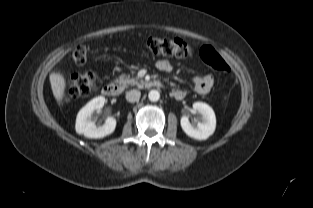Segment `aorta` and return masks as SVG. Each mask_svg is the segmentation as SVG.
Masks as SVG:
<instances>
[{"label":"aorta","instance_id":"obj_1","mask_svg":"<svg viewBox=\"0 0 313 208\" xmlns=\"http://www.w3.org/2000/svg\"><path fill=\"white\" fill-rule=\"evenodd\" d=\"M148 98L152 102H156L160 98V93L157 90H151L148 94Z\"/></svg>","mask_w":313,"mask_h":208}]
</instances>
